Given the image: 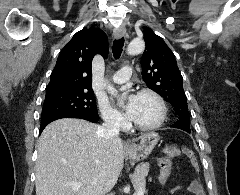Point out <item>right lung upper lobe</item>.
<instances>
[{
	"label": "right lung upper lobe",
	"instance_id": "1",
	"mask_svg": "<svg viewBox=\"0 0 240 195\" xmlns=\"http://www.w3.org/2000/svg\"><path fill=\"white\" fill-rule=\"evenodd\" d=\"M108 55L107 36L96 28L77 32L58 56L46 95L70 90H92V59Z\"/></svg>",
	"mask_w": 240,
	"mask_h": 195
}]
</instances>
